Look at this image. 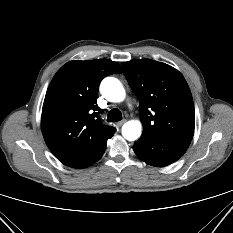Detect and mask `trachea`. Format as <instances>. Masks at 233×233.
<instances>
[{"mask_svg": "<svg viewBox=\"0 0 233 233\" xmlns=\"http://www.w3.org/2000/svg\"><path fill=\"white\" fill-rule=\"evenodd\" d=\"M120 120H122V113L119 109L115 108L109 111L108 116H107L108 122H117Z\"/></svg>", "mask_w": 233, "mask_h": 233, "instance_id": "1", "label": "trachea"}]
</instances>
